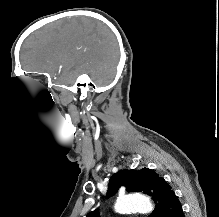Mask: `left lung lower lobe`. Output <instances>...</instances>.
Listing matches in <instances>:
<instances>
[{
	"instance_id": "0a47b994",
	"label": "left lung lower lobe",
	"mask_w": 219,
	"mask_h": 217,
	"mask_svg": "<svg viewBox=\"0 0 219 217\" xmlns=\"http://www.w3.org/2000/svg\"><path fill=\"white\" fill-rule=\"evenodd\" d=\"M170 217H185L180 203L176 205Z\"/></svg>"
}]
</instances>
